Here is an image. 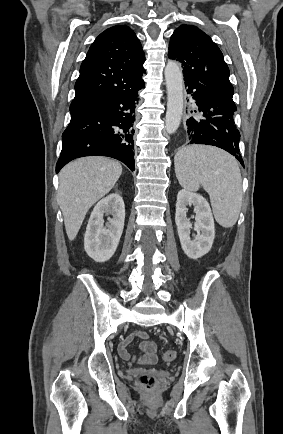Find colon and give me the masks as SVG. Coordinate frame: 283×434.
Instances as JSON below:
<instances>
[{
    "label": "colon",
    "mask_w": 283,
    "mask_h": 434,
    "mask_svg": "<svg viewBox=\"0 0 283 434\" xmlns=\"http://www.w3.org/2000/svg\"><path fill=\"white\" fill-rule=\"evenodd\" d=\"M177 353L173 349L166 350L163 354V359L166 362L175 360ZM137 383L145 388H153L156 385V379L151 375H141L137 379Z\"/></svg>",
    "instance_id": "1"
}]
</instances>
